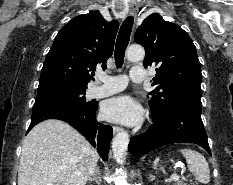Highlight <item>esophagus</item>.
I'll return each mask as SVG.
<instances>
[{
    "instance_id": "esophagus-1",
    "label": "esophagus",
    "mask_w": 233,
    "mask_h": 185,
    "mask_svg": "<svg viewBox=\"0 0 233 185\" xmlns=\"http://www.w3.org/2000/svg\"><path fill=\"white\" fill-rule=\"evenodd\" d=\"M136 12H137V5L134 4V3H130V11H129L130 15L134 16V15H136ZM121 131H122L121 127H118V126L113 127V133L114 134H117V133H119Z\"/></svg>"
}]
</instances>
